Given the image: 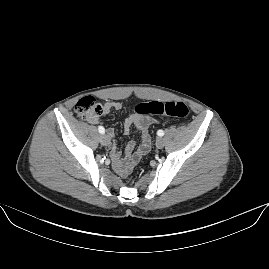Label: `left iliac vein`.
I'll list each match as a JSON object with an SVG mask.
<instances>
[{"instance_id": "1", "label": "left iliac vein", "mask_w": 269, "mask_h": 269, "mask_svg": "<svg viewBox=\"0 0 269 269\" xmlns=\"http://www.w3.org/2000/svg\"><path fill=\"white\" fill-rule=\"evenodd\" d=\"M156 146L158 148H163L164 147V139L162 137H159L156 141Z\"/></svg>"}]
</instances>
